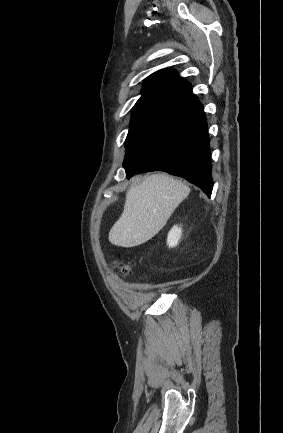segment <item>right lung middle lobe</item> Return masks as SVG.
Wrapping results in <instances>:
<instances>
[{"label":"right lung middle lobe","mask_w":283,"mask_h":433,"mask_svg":"<svg viewBox=\"0 0 283 433\" xmlns=\"http://www.w3.org/2000/svg\"><path fill=\"white\" fill-rule=\"evenodd\" d=\"M160 113L150 111H132V118L130 123V129L125 141L126 148L132 142V140L139 134V132L153 119L157 118Z\"/></svg>","instance_id":"obj_1"}]
</instances>
